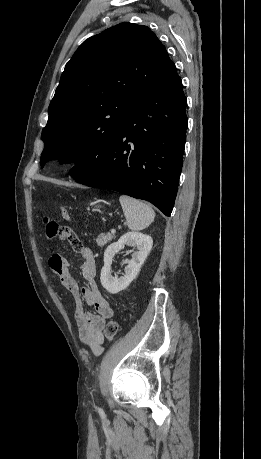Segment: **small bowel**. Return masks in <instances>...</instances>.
<instances>
[{"instance_id":"obj_1","label":"small bowel","mask_w":261,"mask_h":459,"mask_svg":"<svg viewBox=\"0 0 261 459\" xmlns=\"http://www.w3.org/2000/svg\"><path fill=\"white\" fill-rule=\"evenodd\" d=\"M46 238L67 240L81 256V274L87 281V286L79 285L73 275V264L60 253H54L50 257L49 267L74 299V317L80 340L94 356H99L103 352V328L106 321L112 318L113 310L94 280L96 276L94 254L82 244L80 238L69 227L58 224L52 227L47 224ZM86 307H89L90 310H87Z\"/></svg>"}]
</instances>
